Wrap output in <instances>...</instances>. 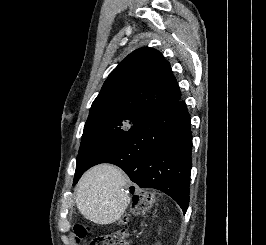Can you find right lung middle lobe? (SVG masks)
I'll use <instances>...</instances> for the list:
<instances>
[{
	"label": "right lung middle lobe",
	"mask_w": 266,
	"mask_h": 245,
	"mask_svg": "<svg viewBox=\"0 0 266 245\" xmlns=\"http://www.w3.org/2000/svg\"><path fill=\"white\" fill-rule=\"evenodd\" d=\"M141 119L116 112L89 116L77 156L74 181L96 157L118 142Z\"/></svg>",
	"instance_id": "obj_1"
}]
</instances>
